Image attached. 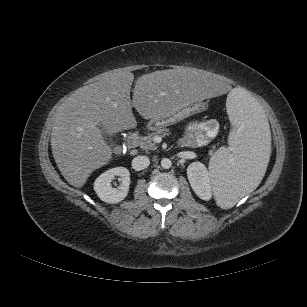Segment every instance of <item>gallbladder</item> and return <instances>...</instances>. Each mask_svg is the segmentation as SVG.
Masks as SVG:
<instances>
[{"label":"gallbladder","instance_id":"obj_1","mask_svg":"<svg viewBox=\"0 0 307 307\" xmlns=\"http://www.w3.org/2000/svg\"><path fill=\"white\" fill-rule=\"evenodd\" d=\"M99 128H100L101 133L104 136V138L105 139H110L111 134L107 131V129L102 124H99Z\"/></svg>","mask_w":307,"mask_h":307}]
</instances>
